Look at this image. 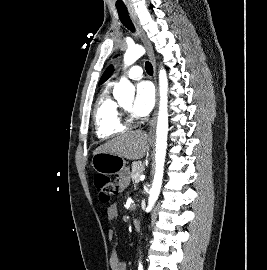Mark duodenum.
Returning a JSON list of instances; mask_svg holds the SVG:
<instances>
[{"label": "duodenum", "mask_w": 267, "mask_h": 270, "mask_svg": "<svg viewBox=\"0 0 267 270\" xmlns=\"http://www.w3.org/2000/svg\"><path fill=\"white\" fill-rule=\"evenodd\" d=\"M132 224L135 230H139L141 227V222L138 218L133 219Z\"/></svg>", "instance_id": "duodenum-1"}]
</instances>
